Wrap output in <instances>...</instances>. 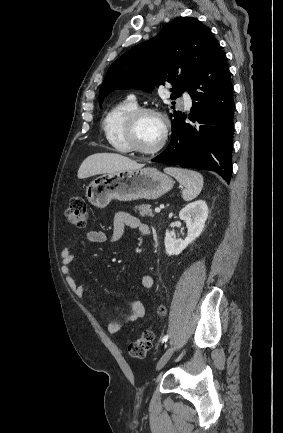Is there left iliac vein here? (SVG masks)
<instances>
[{
  "instance_id": "4c4485c4",
  "label": "left iliac vein",
  "mask_w": 283,
  "mask_h": 433,
  "mask_svg": "<svg viewBox=\"0 0 283 433\" xmlns=\"http://www.w3.org/2000/svg\"><path fill=\"white\" fill-rule=\"evenodd\" d=\"M175 347L172 346L170 348H168L164 354L161 356V358L159 359L158 363H157V369L160 370L170 359V357L173 355Z\"/></svg>"
}]
</instances>
